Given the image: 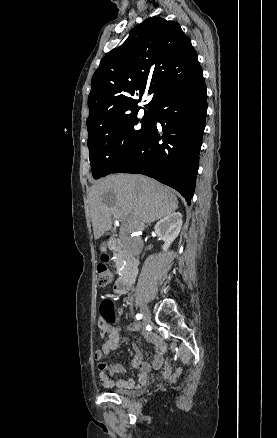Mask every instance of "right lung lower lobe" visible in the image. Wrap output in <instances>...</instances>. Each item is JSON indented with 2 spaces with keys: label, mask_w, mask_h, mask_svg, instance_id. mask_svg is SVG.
I'll return each instance as SVG.
<instances>
[{
  "label": "right lung lower lobe",
  "mask_w": 277,
  "mask_h": 438,
  "mask_svg": "<svg viewBox=\"0 0 277 438\" xmlns=\"http://www.w3.org/2000/svg\"><path fill=\"white\" fill-rule=\"evenodd\" d=\"M166 67L180 68L177 63ZM206 98L202 71L161 93L151 107L149 129L113 173L152 177L176 189L190 204L206 124Z\"/></svg>",
  "instance_id": "obj_1"
}]
</instances>
